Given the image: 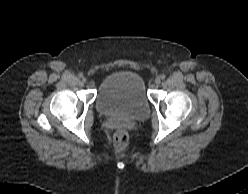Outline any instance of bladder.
I'll return each mask as SVG.
<instances>
[{"mask_svg":"<svg viewBox=\"0 0 248 194\" xmlns=\"http://www.w3.org/2000/svg\"><path fill=\"white\" fill-rule=\"evenodd\" d=\"M96 108L104 115L134 119L146 117L150 101L144 79L133 71L111 73L98 88Z\"/></svg>","mask_w":248,"mask_h":194,"instance_id":"obj_1","label":"bladder"}]
</instances>
